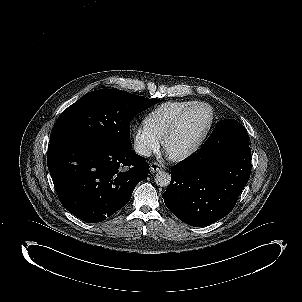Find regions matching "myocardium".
I'll return each mask as SVG.
<instances>
[{
    "mask_svg": "<svg viewBox=\"0 0 302 302\" xmlns=\"http://www.w3.org/2000/svg\"><path fill=\"white\" fill-rule=\"evenodd\" d=\"M198 109H202L206 112L207 114V119H206V123L205 126L202 130V132L200 133L199 137L196 139V141L192 144V146H190L188 149L181 151V152H174L175 153V157L176 158H182L185 156L190 155L191 153H193L202 143V141L204 140V138L206 137L211 124H212V120H213V112L211 110V108L206 105V104H195L190 106L187 110H185L183 113H181L178 118L175 120V122L173 123V125L170 127L168 133L166 134V136L164 137V147L166 149H170L169 147V141L171 136L173 135V133L176 131V129L178 128V126L180 125V123L183 121V119L190 113H192L195 110Z\"/></svg>",
    "mask_w": 302,
    "mask_h": 302,
    "instance_id": "1",
    "label": "myocardium"
}]
</instances>
